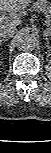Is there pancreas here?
I'll return each instance as SVG.
<instances>
[{"instance_id": "obj_1", "label": "pancreas", "mask_w": 51, "mask_h": 153, "mask_svg": "<svg viewBox=\"0 0 51 153\" xmlns=\"http://www.w3.org/2000/svg\"><path fill=\"white\" fill-rule=\"evenodd\" d=\"M32 9L37 12H42L46 16H50L51 14V3L47 0H37L33 3Z\"/></svg>"}]
</instances>
